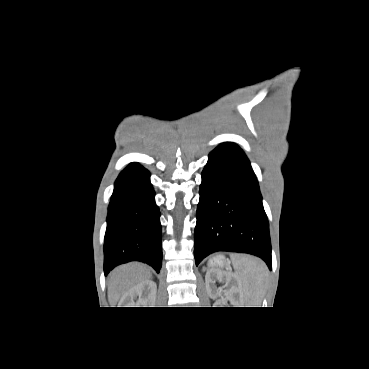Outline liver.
<instances>
[{
  "instance_id": "liver-1",
  "label": "liver",
  "mask_w": 369,
  "mask_h": 369,
  "mask_svg": "<svg viewBox=\"0 0 369 369\" xmlns=\"http://www.w3.org/2000/svg\"><path fill=\"white\" fill-rule=\"evenodd\" d=\"M151 276L147 266L136 262L115 268L108 280V301L111 307H115L120 297L128 290L144 280H149Z\"/></svg>"
}]
</instances>
